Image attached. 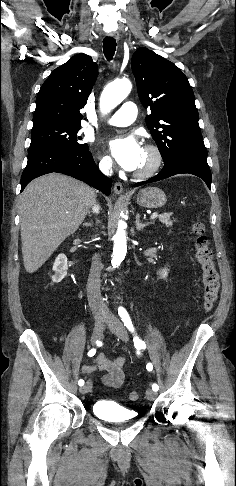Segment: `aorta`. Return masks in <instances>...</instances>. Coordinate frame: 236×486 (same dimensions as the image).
Masks as SVG:
<instances>
[{
	"instance_id": "1",
	"label": "aorta",
	"mask_w": 236,
	"mask_h": 486,
	"mask_svg": "<svg viewBox=\"0 0 236 486\" xmlns=\"http://www.w3.org/2000/svg\"><path fill=\"white\" fill-rule=\"evenodd\" d=\"M132 84L128 79H121L108 84L101 95V107L105 111H109L120 104L130 93ZM126 223L122 220L118 222V228L114 235V248L112 254L111 264L116 268L124 260L127 252V236Z\"/></svg>"
}]
</instances>
